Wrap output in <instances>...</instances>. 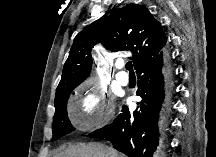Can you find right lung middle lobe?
Instances as JSON below:
<instances>
[{"label": "right lung middle lobe", "instance_id": "1", "mask_svg": "<svg viewBox=\"0 0 216 157\" xmlns=\"http://www.w3.org/2000/svg\"><path fill=\"white\" fill-rule=\"evenodd\" d=\"M72 90L67 89L55 98L52 141L74 130L67 116V101Z\"/></svg>", "mask_w": 216, "mask_h": 157}]
</instances>
